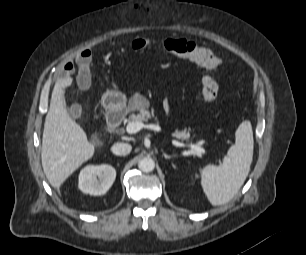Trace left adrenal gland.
Wrapping results in <instances>:
<instances>
[{
	"mask_svg": "<svg viewBox=\"0 0 306 255\" xmlns=\"http://www.w3.org/2000/svg\"><path fill=\"white\" fill-rule=\"evenodd\" d=\"M163 156H164V158H165V159H171V158L176 157V155H175V154H172V155H167L165 152H163Z\"/></svg>",
	"mask_w": 306,
	"mask_h": 255,
	"instance_id": "a2214340",
	"label": "left adrenal gland"
}]
</instances>
